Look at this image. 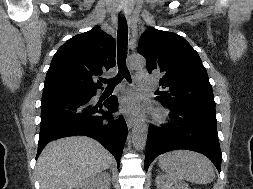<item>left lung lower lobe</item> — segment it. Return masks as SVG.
<instances>
[{
	"label": "left lung lower lobe",
	"mask_w": 253,
	"mask_h": 189,
	"mask_svg": "<svg viewBox=\"0 0 253 189\" xmlns=\"http://www.w3.org/2000/svg\"><path fill=\"white\" fill-rule=\"evenodd\" d=\"M166 107L171 110L170 123L161 128L149 127L145 170L160 154L176 149H189L207 156L220 172L222 155L216 113L183 106Z\"/></svg>",
	"instance_id": "left-lung-lower-lobe-1"
}]
</instances>
